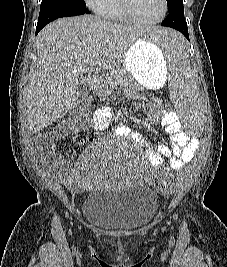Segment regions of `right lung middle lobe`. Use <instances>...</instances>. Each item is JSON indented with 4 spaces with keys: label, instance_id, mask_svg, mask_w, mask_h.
<instances>
[{
    "label": "right lung middle lobe",
    "instance_id": "obj_1",
    "mask_svg": "<svg viewBox=\"0 0 227 267\" xmlns=\"http://www.w3.org/2000/svg\"><path fill=\"white\" fill-rule=\"evenodd\" d=\"M86 3L84 0H42L41 10H55V9H84Z\"/></svg>",
    "mask_w": 227,
    "mask_h": 267
}]
</instances>
